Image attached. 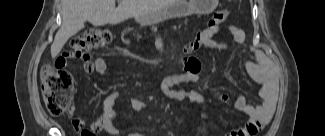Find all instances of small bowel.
<instances>
[{
  "label": "small bowel",
  "mask_w": 325,
  "mask_h": 136,
  "mask_svg": "<svg viewBox=\"0 0 325 136\" xmlns=\"http://www.w3.org/2000/svg\"><path fill=\"white\" fill-rule=\"evenodd\" d=\"M228 32L232 35L234 42L237 45H243L245 41L244 32L233 25H219L212 27L208 25L200 31L203 44L207 47L225 52L230 49L226 43L216 40L215 37L222 33ZM71 52L69 49L66 51ZM67 53H58L56 58V71L60 75L62 83H66L69 91H74L76 78L72 73H69L67 68ZM256 62H248L246 69L250 76L259 83V97L262 100L260 107H255L249 104L246 98L242 95H236L234 98V106L237 110L249 116V119L240 127L231 129L226 133V136H251L252 132L259 131L262 126L268 124L271 120L275 105L276 95V81L272 75V68L269 61L260 51L255 52ZM84 70L86 73L96 72L99 75H105L107 72V64L104 59L96 58L94 61H86L84 63ZM202 73V64L196 59H188L185 61V72L181 74H174L165 77L160 83V91L170 99L176 101L189 100L201 106V118L208 119L209 103L208 98L196 91H187L182 89H175L174 86L183 83H195L200 79ZM215 97L221 101L230 100V96L224 93H215ZM119 98L117 92L108 94L101 105V115L99 119L94 121L88 129L93 134L102 130L110 135L118 134V127L115 124L116 113L114 111V104ZM131 108L135 111H140L144 108V103L136 98L131 99ZM74 109L70 108L69 115L72 116ZM72 125L75 129L81 130L83 128V121L80 118H73ZM85 130L82 131V133ZM130 136H134L131 134Z\"/></svg>",
  "instance_id": "small-bowel-1"
}]
</instances>
